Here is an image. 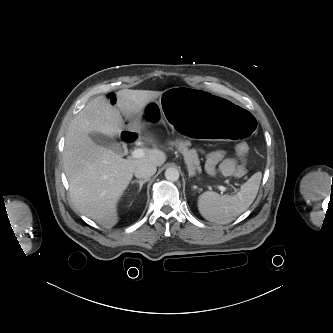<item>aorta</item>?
I'll return each instance as SVG.
<instances>
[{
    "label": "aorta",
    "instance_id": "1",
    "mask_svg": "<svg viewBox=\"0 0 333 333\" xmlns=\"http://www.w3.org/2000/svg\"><path fill=\"white\" fill-rule=\"evenodd\" d=\"M179 176V171L176 168L170 167L165 170V178L169 181H177Z\"/></svg>",
    "mask_w": 333,
    "mask_h": 333
}]
</instances>
